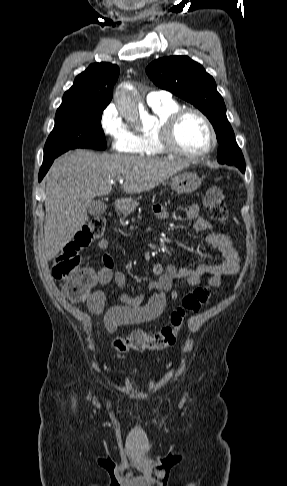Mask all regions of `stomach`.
Segmentation results:
<instances>
[{
    "label": "stomach",
    "instance_id": "obj_1",
    "mask_svg": "<svg viewBox=\"0 0 287 486\" xmlns=\"http://www.w3.org/2000/svg\"><path fill=\"white\" fill-rule=\"evenodd\" d=\"M202 183V179L194 172H183L174 176L170 185L178 194H189L197 190ZM138 206L135 199L125 198L120 202L119 210L123 214H130Z\"/></svg>",
    "mask_w": 287,
    "mask_h": 486
}]
</instances>
